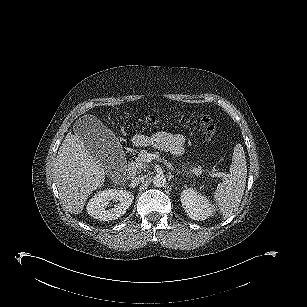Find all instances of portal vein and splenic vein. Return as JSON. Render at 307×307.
Returning <instances> with one entry per match:
<instances>
[{
	"label": "portal vein and splenic vein",
	"instance_id": "1",
	"mask_svg": "<svg viewBox=\"0 0 307 307\" xmlns=\"http://www.w3.org/2000/svg\"><path fill=\"white\" fill-rule=\"evenodd\" d=\"M145 158H146V160L147 161H151V160H153L154 158H155V155H153V154H151V153H147L146 155H145ZM168 165V167H171L170 166V164H167Z\"/></svg>",
	"mask_w": 307,
	"mask_h": 307
}]
</instances>
